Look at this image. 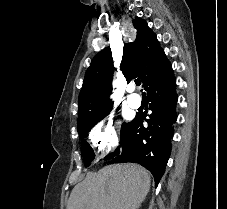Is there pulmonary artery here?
Masks as SVG:
<instances>
[{
  "label": "pulmonary artery",
  "mask_w": 227,
  "mask_h": 209,
  "mask_svg": "<svg viewBox=\"0 0 227 209\" xmlns=\"http://www.w3.org/2000/svg\"><path fill=\"white\" fill-rule=\"evenodd\" d=\"M126 91L129 92V96L126 99V102L133 108H138L143 98L138 94L136 87H127Z\"/></svg>",
  "instance_id": "e3ab8cb5"
}]
</instances>
